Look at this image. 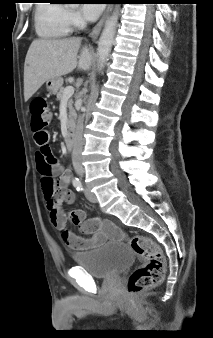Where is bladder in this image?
<instances>
[{
    "mask_svg": "<svg viewBox=\"0 0 213 338\" xmlns=\"http://www.w3.org/2000/svg\"><path fill=\"white\" fill-rule=\"evenodd\" d=\"M76 265L94 278H111L123 272L135 259L126 242H109L87 253L73 256Z\"/></svg>",
    "mask_w": 213,
    "mask_h": 338,
    "instance_id": "obj_1",
    "label": "bladder"
}]
</instances>
